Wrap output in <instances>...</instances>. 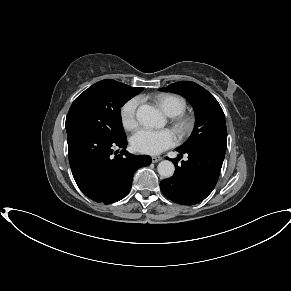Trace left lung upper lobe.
Returning a JSON list of instances; mask_svg holds the SVG:
<instances>
[{
  "label": "left lung upper lobe",
  "instance_id": "5c2ea615",
  "mask_svg": "<svg viewBox=\"0 0 291 291\" xmlns=\"http://www.w3.org/2000/svg\"><path fill=\"white\" fill-rule=\"evenodd\" d=\"M163 91L178 93L187 98L196 114V124L190 138L179 149L194 146H227L225 115L217 100L200 85L186 81L176 82Z\"/></svg>",
  "mask_w": 291,
  "mask_h": 291
}]
</instances>
